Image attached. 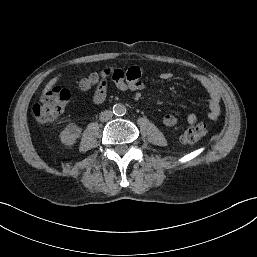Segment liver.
<instances>
[{
	"mask_svg": "<svg viewBox=\"0 0 257 257\" xmlns=\"http://www.w3.org/2000/svg\"><path fill=\"white\" fill-rule=\"evenodd\" d=\"M58 77H55L53 79H51L47 85L45 86V89L43 90V93L47 92L48 90H50L52 88V86L57 82Z\"/></svg>",
	"mask_w": 257,
	"mask_h": 257,
	"instance_id": "obj_1",
	"label": "liver"
}]
</instances>
